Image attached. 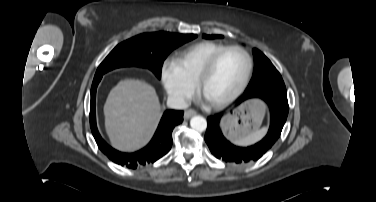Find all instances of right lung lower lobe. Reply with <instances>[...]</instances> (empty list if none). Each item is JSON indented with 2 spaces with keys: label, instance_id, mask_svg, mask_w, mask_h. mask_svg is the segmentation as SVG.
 Instances as JSON below:
<instances>
[{
  "label": "right lung lower lobe",
  "instance_id": "obj_1",
  "mask_svg": "<svg viewBox=\"0 0 376 202\" xmlns=\"http://www.w3.org/2000/svg\"><path fill=\"white\" fill-rule=\"evenodd\" d=\"M102 78V77H101ZM101 78L93 81L91 87L90 127L99 149L114 163L135 169L138 165L154 163L169 152L172 146V131L183 121V111H165L159 126L150 141L143 149L135 153H122L110 147L100 136L96 126L95 99L96 89Z\"/></svg>",
  "mask_w": 376,
  "mask_h": 202
}]
</instances>
